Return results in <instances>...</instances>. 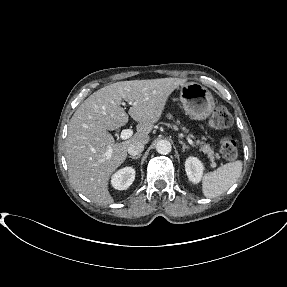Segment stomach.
<instances>
[{
	"mask_svg": "<svg viewBox=\"0 0 287 287\" xmlns=\"http://www.w3.org/2000/svg\"><path fill=\"white\" fill-rule=\"evenodd\" d=\"M180 101L186 113L193 119H207L215 108L211 92L196 82H188L180 86Z\"/></svg>",
	"mask_w": 287,
	"mask_h": 287,
	"instance_id": "obj_1",
	"label": "stomach"
}]
</instances>
